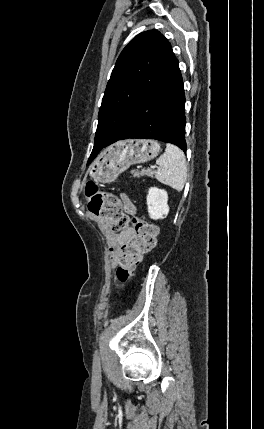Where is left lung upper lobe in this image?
Listing matches in <instances>:
<instances>
[{
	"mask_svg": "<svg viewBox=\"0 0 264 429\" xmlns=\"http://www.w3.org/2000/svg\"><path fill=\"white\" fill-rule=\"evenodd\" d=\"M170 43L157 30L138 34L121 52L108 81L91 155L118 141L167 61Z\"/></svg>",
	"mask_w": 264,
	"mask_h": 429,
	"instance_id": "left-lung-upper-lobe-1",
	"label": "left lung upper lobe"
}]
</instances>
